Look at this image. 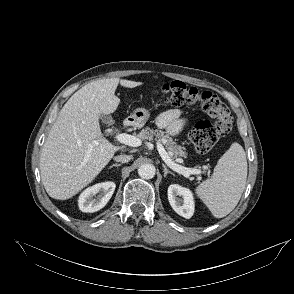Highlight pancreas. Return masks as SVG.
Here are the masks:
<instances>
[{
  "label": "pancreas",
  "mask_w": 294,
  "mask_h": 294,
  "mask_svg": "<svg viewBox=\"0 0 294 294\" xmlns=\"http://www.w3.org/2000/svg\"><path fill=\"white\" fill-rule=\"evenodd\" d=\"M137 136L142 140H155L158 143L164 144L166 149L172 153L171 157L173 159L186 157V152L184 151L183 147L178 145L168 134L162 130H153L149 127H146L145 129H142Z\"/></svg>",
  "instance_id": "pancreas-1"
}]
</instances>
